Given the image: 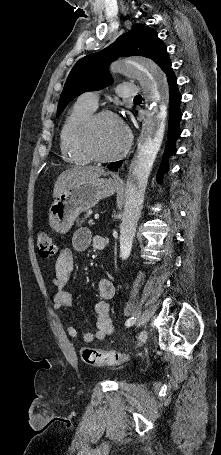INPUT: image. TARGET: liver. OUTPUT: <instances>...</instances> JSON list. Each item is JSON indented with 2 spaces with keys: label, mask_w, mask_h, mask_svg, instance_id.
I'll list each match as a JSON object with an SVG mask.
<instances>
[{
  "label": "liver",
  "mask_w": 221,
  "mask_h": 455,
  "mask_svg": "<svg viewBox=\"0 0 221 455\" xmlns=\"http://www.w3.org/2000/svg\"><path fill=\"white\" fill-rule=\"evenodd\" d=\"M103 175H106V172L99 166H75L67 169L59 175L54 186L53 197L57 198L67 188L72 187L79 182L92 180Z\"/></svg>",
  "instance_id": "liver-1"
}]
</instances>
